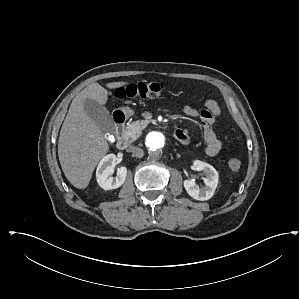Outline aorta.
<instances>
[{
    "label": "aorta",
    "instance_id": "obj_1",
    "mask_svg": "<svg viewBox=\"0 0 299 299\" xmlns=\"http://www.w3.org/2000/svg\"><path fill=\"white\" fill-rule=\"evenodd\" d=\"M166 145V138L163 133L158 131L150 132L146 137L147 148L154 153H159Z\"/></svg>",
    "mask_w": 299,
    "mask_h": 299
}]
</instances>
